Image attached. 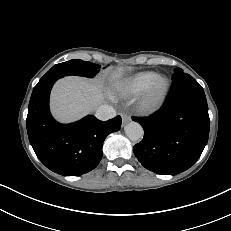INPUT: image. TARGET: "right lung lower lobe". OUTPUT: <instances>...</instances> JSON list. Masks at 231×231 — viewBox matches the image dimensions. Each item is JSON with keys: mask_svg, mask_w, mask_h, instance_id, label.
Listing matches in <instances>:
<instances>
[{"mask_svg": "<svg viewBox=\"0 0 231 231\" xmlns=\"http://www.w3.org/2000/svg\"><path fill=\"white\" fill-rule=\"evenodd\" d=\"M57 79L37 84L27 115V132L39 160L63 176H79L100 162L105 138L121 127V117L100 121L88 115L72 124L56 122L49 111L50 90Z\"/></svg>", "mask_w": 231, "mask_h": 231, "instance_id": "1", "label": "right lung lower lobe"}]
</instances>
